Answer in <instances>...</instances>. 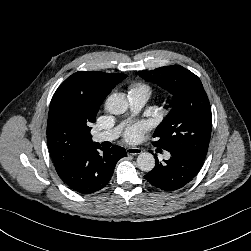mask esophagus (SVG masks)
<instances>
[{"instance_id": "obj_1", "label": "esophagus", "mask_w": 251, "mask_h": 251, "mask_svg": "<svg viewBox=\"0 0 251 251\" xmlns=\"http://www.w3.org/2000/svg\"><path fill=\"white\" fill-rule=\"evenodd\" d=\"M127 154L129 155H138L142 153V150L137 147H129L126 149Z\"/></svg>"}]
</instances>
